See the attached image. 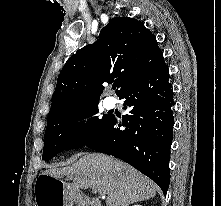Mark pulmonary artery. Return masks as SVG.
I'll return each instance as SVG.
<instances>
[{
	"label": "pulmonary artery",
	"instance_id": "1",
	"mask_svg": "<svg viewBox=\"0 0 221 206\" xmlns=\"http://www.w3.org/2000/svg\"><path fill=\"white\" fill-rule=\"evenodd\" d=\"M104 103H105V106H106L107 108H112V107H114V105H115V101H114V99H113L112 97L106 98L105 101H104Z\"/></svg>",
	"mask_w": 221,
	"mask_h": 206
}]
</instances>
